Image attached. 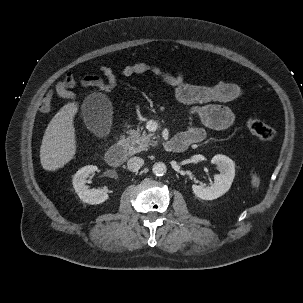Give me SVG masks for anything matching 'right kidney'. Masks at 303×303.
Wrapping results in <instances>:
<instances>
[{"instance_id": "right-kidney-1", "label": "right kidney", "mask_w": 303, "mask_h": 303, "mask_svg": "<svg viewBox=\"0 0 303 303\" xmlns=\"http://www.w3.org/2000/svg\"><path fill=\"white\" fill-rule=\"evenodd\" d=\"M97 166L88 165L80 168L73 176L72 184L79 198L87 204H100L108 199V194L100 189H91L86 185V178L97 171Z\"/></svg>"}]
</instances>
